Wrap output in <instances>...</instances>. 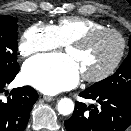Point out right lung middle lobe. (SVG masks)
I'll list each match as a JSON object with an SVG mask.
<instances>
[{"label":"right lung middle lobe","mask_w":131,"mask_h":131,"mask_svg":"<svg viewBox=\"0 0 131 131\" xmlns=\"http://www.w3.org/2000/svg\"><path fill=\"white\" fill-rule=\"evenodd\" d=\"M17 29L16 18L0 16V78L11 76L19 70Z\"/></svg>","instance_id":"dd1d6c3e"}]
</instances>
